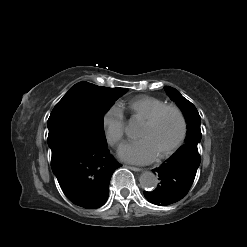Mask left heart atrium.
Listing matches in <instances>:
<instances>
[{
  "label": "left heart atrium",
  "instance_id": "1",
  "mask_svg": "<svg viewBox=\"0 0 247 247\" xmlns=\"http://www.w3.org/2000/svg\"><path fill=\"white\" fill-rule=\"evenodd\" d=\"M118 156L126 162L148 164L156 158L157 153L152 144L142 138L123 144L118 151Z\"/></svg>",
  "mask_w": 247,
  "mask_h": 247
}]
</instances>
